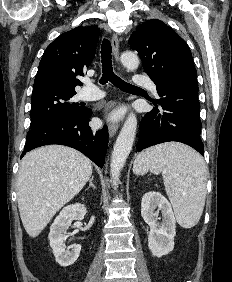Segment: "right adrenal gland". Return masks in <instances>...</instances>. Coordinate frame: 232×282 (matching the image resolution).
I'll return each mask as SVG.
<instances>
[{
    "mask_svg": "<svg viewBox=\"0 0 232 282\" xmlns=\"http://www.w3.org/2000/svg\"><path fill=\"white\" fill-rule=\"evenodd\" d=\"M94 176L91 177L90 181H89V186L87 187L86 190H88L90 187H92L93 189H95V185L92 183Z\"/></svg>",
    "mask_w": 232,
    "mask_h": 282,
    "instance_id": "2a0ac1e0",
    "label": "right adrenal gland"
}]
</instances>
